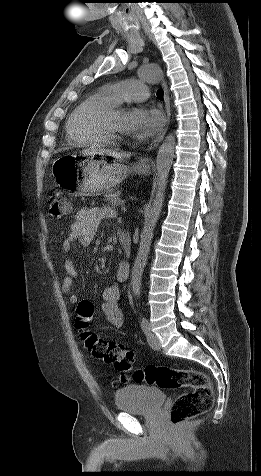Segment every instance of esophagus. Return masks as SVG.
Wrapping results in <instances>:
<instances>
[{
	"label": "esophagus",
	"mask_w": 261,
	"mask_h": 476,
	"mask_svg": "<svg viewBox=\"0 0 261 476\" xmlns=\"http://www.w3.org/2000/svg\"><path fill=\"white\" fill-rule=\"evenodd\" d=\"M162 87L164 90V101H165V110H166V127L163 129V131L158 135V137L154 140V142L151 144L148 150L153 149L154 147H157L159 143L163 140L164 135L167 131V126L170 120V99H169V93H168V88L167 84L165 81L162 82ZM147 160L143 159L141 160V165H146Z\"/></svg>",
	"instance_id": "34e87169"
}]
</instances>
